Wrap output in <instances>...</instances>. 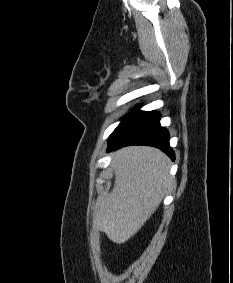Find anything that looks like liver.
I'll return each mask as SVG.
<instances>
[{"label":"liver","mask_w":233,"mask_h":283,"mask_svg":"<svg viewBox=\"0 0 233 283\" xmlns=\"http://www.w3.org/2000/svg\"><path fill=\"white\" fill-rule=\"evenodd\" d=\"M113 190L97 199L94 227L121 244L134 236L159 207L172 184L171 161L159 149L129 146L112 154Z\"/></svg>","instance_id":"obj_1"}]
</instances>
